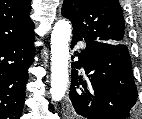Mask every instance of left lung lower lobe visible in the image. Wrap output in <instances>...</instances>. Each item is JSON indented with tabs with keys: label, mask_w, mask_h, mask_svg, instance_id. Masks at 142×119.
I'll use <instances>...</instances> for the list:
<instances>
[{
	"label": "left lung lower lobe",
	"mask_w": 142,
	"mask_h": 119,
	"mask_svg": "<svg viewBox=\"0 0 142 119\" xmlns=\"http://www.w3.org/2000/svg\"><path fill=\"white\" fill-rule=\"evenodd\" d=\"M82 40L73 34L71 48ZM78 61L71 64L72 109L86 119H126L137 101L128 48L124 44L86 42ZM84 68L85 78L77 69Z\"/></svg>",
	"instance_id": "left-lung-lower-lobe-1"
}]
</instances>
